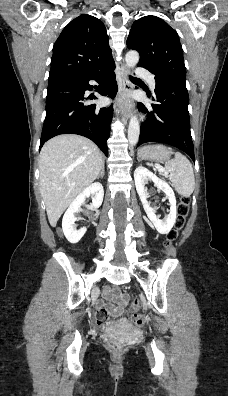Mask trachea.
Returning a JSON list of instances; mask_svg holds the SVG:
<instances>
[{
	"label": "trachea",
	"instance_id": "1",
	"mask_svg": "<svg viewBox=\"0 0 228 396\" xmlns=\"http://www.w3.org/2000/svg\"><path fill=\"white\" fill-rule=\"evenodd\" d=\"M130 79H131L132 81H141L140 79L135 78V77H132V76H130Z\"/></svg>",
	"mask_w": 228,
	"mask_h": 396
}]
</instances>
